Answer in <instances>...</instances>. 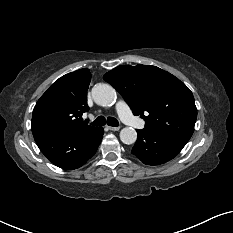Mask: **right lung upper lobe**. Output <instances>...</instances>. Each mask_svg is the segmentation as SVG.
<instances>
[{
    "instance_id": "right-lung-upper-lobe-1",
    "label": "right lung upper lobe",
    "mask_w": 233,
    "mask_h": 233,
    "mask_svg": "<svg viewBox=\"0 0 233 233\" xmlns=\"http://www.w3.org/2000/svg\"><path fill=\"white\" fill-rule=\"evenodd\" d=\"M88 69H80L56 80L36 103L32 115L34 138L44 135L74 136L95 127L82 121L88 111Z\"/></svg>"
}]
</instances>
